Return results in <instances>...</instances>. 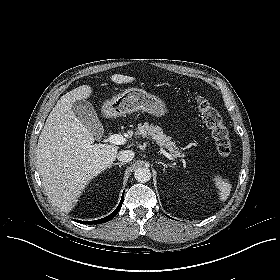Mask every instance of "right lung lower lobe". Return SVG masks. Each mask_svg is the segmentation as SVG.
I'll use <instances>...</instances> for the list:
<instances>
[{
    "label": "right lung lower lobe",
    "mask_w": 280,
    "mask_h": 280,
    "mask_svg": "<svg viewBox=\"0 0 280 280\" xmlns=\"http://www.w3.org/2000/svg\"><path fill=\"white\" fill-rule=\"evenodd\" d=\"M123 200H124V193L122 195V198H121V201L118 205V207L113 211V213H111L110 215H108L107 217H104L102 219H99V220H95V221H80V220H76V222H79V223H84V224H100V223H104V222H107V221H110L111 219H113L117 213L119 212L121 206H122V203H123Z\"/></svg>",
    "instance_id": "right-lung-lower-lobe-1"
}]
</instances>
